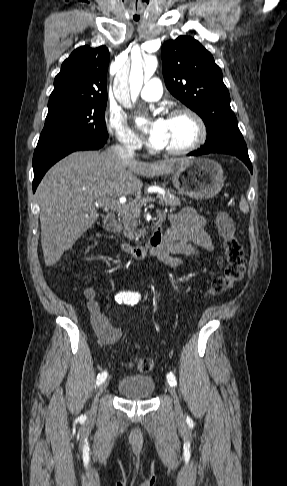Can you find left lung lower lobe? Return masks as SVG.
I'll return each instance as SVG.
<instances>
[{"instance_id":"1","label":"left lung lower lobe","mask_w":287,"mask_h":486,"mask_svg":"<svg viewBox=\"0 0 287 486\" xmlns=\"http://www.w3.org/2000/svg\"><path fill=\"white\" fill-rule=\"evenodd\" d=\"M210 152L204 151V150H196L188 154V156H198V155H203V154H209ZM237 156L239 159H241L249 168V170L252 173V164L250 162L249 156L248 155H234Z\"/></svg>"}]
</instances>
